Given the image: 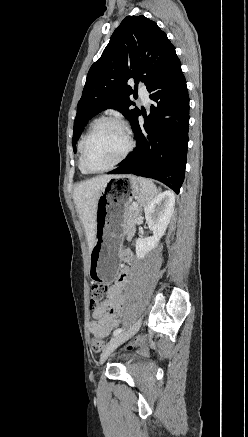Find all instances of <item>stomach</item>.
Here are the masks:
<instances>
[{"mask_svg":"<svg viewBox=\"0 0 248 437\" xmlns=\"http://www.w3.org/2000/svg\"><path fill=\"white\" fill-rule=\"evenodd\" d=\"M141 194L138 179L129 174L113 176L100 192L95 215V244L90 253L95 286H114L120 244L126 229L124 214L134 199L140 203Z\"/></svg>","mask_w":248,"mask_h":437,"instance_id":"0dacf381","label":"stomach"}]
</instances>
